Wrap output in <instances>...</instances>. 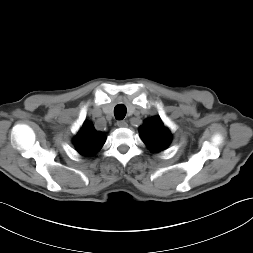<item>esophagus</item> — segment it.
I'll list each match as a JSON object with an SVG mask.
<instances>
[{
	"label": "esophagus",
	"mask_w": 253,
	"mask_h": 253,
	"mask_svg": "<svg viewBox=\"0 0 253 253\" xmlns=\"http://www.w3.org/2000/svg\"><path fill=\"white\" fill-rule=\"evenodd\" d=\"M117 126L121 128H125L128 126L127 122L124 120L117 121Z\"/></svg>",
	"instance_id": "34e87169"
}]
</instances>
